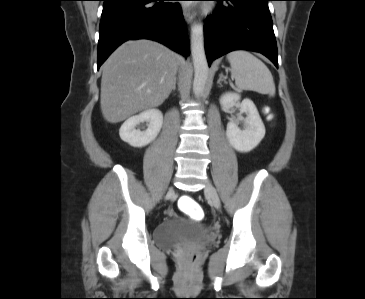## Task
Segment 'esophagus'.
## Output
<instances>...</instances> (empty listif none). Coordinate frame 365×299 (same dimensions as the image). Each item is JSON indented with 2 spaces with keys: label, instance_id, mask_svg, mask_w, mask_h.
Segmentation results:
<instances>
[{
  "label": "esophagus",
  "instance_id": "esophagus-1",
  "mask_svg": "<svg viewBox=\"0 0 365 299\" xmlns=\"http://www.w3.org/2000/svg\"><path fill=\"white\" fill-rule=\"evenodd\" d=\"M183 15L188 24H191L193 22L194 16L189 9L184 8Z\"/></svg>",
  "mask_w": 365,
  "mask_h": 299
}]
</instances>
